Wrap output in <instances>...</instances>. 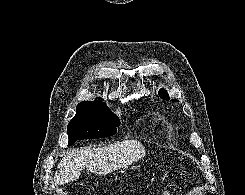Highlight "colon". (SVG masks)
Returning a JSON list of instances; mask_svg holds the SVG:
<instances>
[{"label":"colon","mask_w":245,"mask_h":195,"mask_svg":"<svg viewBox=\"0 0 245 195\" xmlns=\"http://www.w3.org/2000/svg\"><path fill=\"white\" fill-rule=\"evenodd\" d=\"M164 195H171L169 191H166Z\"/></svg>","instance_id":"obj_1"}]
</instances>
